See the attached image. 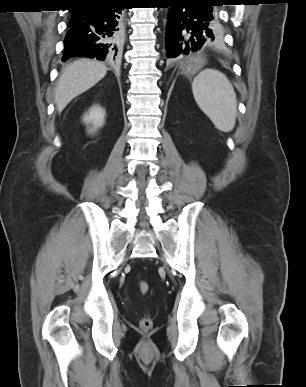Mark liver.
<instances>
[{
  "label": "liver",
  "instance_id": "obj_1",
  "mask_svg": "<svg viewBox=\"0 0 306 387\" xmlns=\"http://www.w3.org/2000/svg\"><path fill=\"white\" fill-rule=\"evenodd\" d=\"M106 73V65L88 59H79L68 64L55 89L58 111L61 112L75 97L96 85Z\"/></svg>",
  "mask_w": 306,
  "mask_h": 387
}]
</instances>
